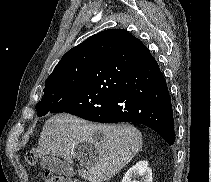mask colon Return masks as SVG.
<instances>
[{
    "label": "colon",
    "instance_id": "obj_1",
    "mask_svg": "<svg viewBox=\"0 0 211 182\" xmlns=\"http://www.w3.org/2000/svg\"><path fill=\"white\" fill-rule=\"evenodd\" d=\"M26 161L29 165L33 166L37 163V154L34 150H30L26 154ZM44 182H84L80 180H73L61 175H57L51 172H45L43 175Z\"/></svg>",
    "mask_w": 211,
    "mask_h": 182
}]
</instances>
